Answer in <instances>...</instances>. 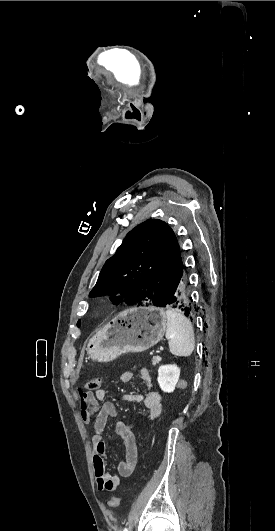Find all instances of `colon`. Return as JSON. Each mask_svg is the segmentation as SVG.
<instances>
[{
	"label": "colon",
	"instance_id": "1",
	"mask_svg": "<svg viewBox=\"0 0 275 531\" xmlns=\"http://www.w3.org/2000/svg\"><path fill=\"white\" fill-rule=\"evenodd\" d=\"M101 385H102V378L99 376L93 377L86 382L85 390L90 393L97 392L101 389ZM143 435H146V432H143ZM120 503H121L120 496H112L108 500V506L113 509L118 508Z\"/></svg>",
	"mask_w": 275,
	"mask_h": 531
}]
</instances>
